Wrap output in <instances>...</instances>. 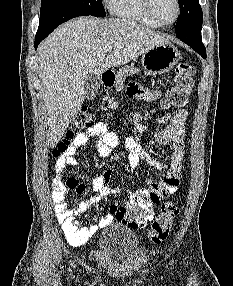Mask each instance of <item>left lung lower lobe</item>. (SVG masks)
<instances>
[{"label": "left lung lower lobe", "mask_w": 233, "mask_h": 286, "mask_svg": "<svg viewBox=\"0 0 233 286\" xmlns=\"http://www.w3.org/2000/svg\"><path fill=\"white\" fill-rule=\"evenodd\" d=\"M201 28L200 26L190 27L182 32L176 34L181 41L191 46L198 54L203 58H206V49L201 39Z\"/></svg>", "instance_id": "obj_1"}]
</instances>
